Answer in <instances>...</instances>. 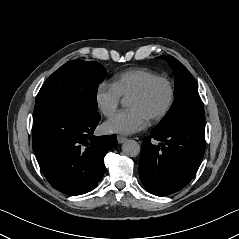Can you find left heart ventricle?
Returning <instances> with one entry per match:
<instances>
[{
	"instance_id": "b2bd125f",
	"label": "left heart ventricle",
	"mask_w": 239,
	"mask_h": 239,
	"mask_svg": "<svg viewBox=\"0 0 239 239\" xmlns=\"http://www.w3.org/2000/svg\"><path fill=\"white\" fill-rule=\"evenodd\" d=\"M167 97V89L163 83H156L142 98L127 100L126 105L136 109L145 118L162 107Z\"/></svg>"
}]
</instances>
